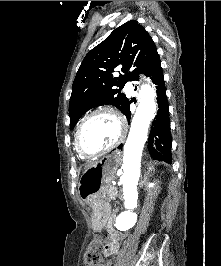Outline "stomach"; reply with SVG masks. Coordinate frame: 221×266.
<instances>
[{
    "mask_svg": "<svg viewBox=\"0 0 221 266\" xmlns=\"http://www.w3.org/2000/svg\"><path fill=\"white\" fill-rule=\"evenodd\" d=\"M119 163L120 155L118 153L108 154L88 167L79 180V196L85 204L92 208V226L95 229L106 220L109 208V204L106 202V193Z\"/></svg>",
    "mask_w": 221,
    "mask_h": 266,
    "instance_id": "1",
    "label": "stomach"
}]
</instances>
